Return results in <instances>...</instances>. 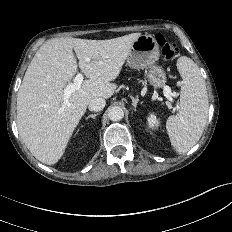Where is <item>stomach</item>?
Returning <instances> with one entry per match:
<instances>
[{"label": "stomach", "mask_w": 232, "mask_h": 232, "mask_svg": "<svg viewBox=\"0 0 232 232\" xmlns=\"http://www.w3.org/2000/svg\"><path fill=\"white\" fill-rule=\"evenodd\" d=\"M160 56L159 45L151 35L139 36L131 46L126 58L127 65L135 69H145V78L154 88H161L167 81L166 73L156 65Z\"/></svg>", "instance_id": "1"}]
</instances>
